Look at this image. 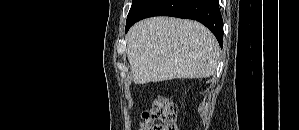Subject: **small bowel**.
I'll return each mask as SVG.
<instances>
[{
  "mask_svg": "<svg viewBox=\"0 0 299 130\" xmlns=\"http://www.w3.org/2000/svg\"><path fill=\"white\" fill-rule=\"evenodd\" d=\"M140 130H144L143 126L140 128Z\"/></svg>",
  "mask_w": 299,
  "mask_h": 130,
  "instance_id": "1",
  "label": "small bowel"
}]
</instances>
